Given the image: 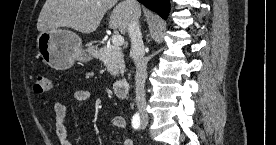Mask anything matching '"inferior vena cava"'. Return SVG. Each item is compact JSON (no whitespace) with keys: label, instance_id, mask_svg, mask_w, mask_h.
<instances>
[{"label":"inferior vena cava","instance_id":"obj_1","mask_svg":"<svg viewBox=\"0 0 276 145\" xmlns=\"http://www.w3.org/2000/svg\"><path fill=\"white\" fill-rule=\"evenodd\" d=\"M123 3L131 10L128 33L131 39L130 57L136 66L135 74V102L141 114L146 113L145 81L147 78V59L139 25V4L137 0H124Z\"/></svg>","mask_w":276,"mask_h":145}]
</instances>
